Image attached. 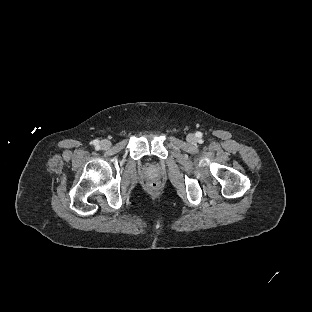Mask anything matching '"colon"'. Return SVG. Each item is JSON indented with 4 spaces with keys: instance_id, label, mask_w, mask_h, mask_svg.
Returning a JSON list of instances; mask_svg holds the SVG:
<instances>
[{
    "instance_id": "1",
    "label": "colon",
    "mask_w": 312,
    "mask_h": 312,
    "mask_svg": "<svg viewBox=\"0 0 312 312\" xmlns=\"http://www.w3.org/2000/svg\"><path fill=\"white\" fill-rule=\"evenodd\" d=\"M150 188H151L152 190H157V189L159 188V183H158L157 181H152V182L150 183Z\"/></svg>"
}]
</instances>
